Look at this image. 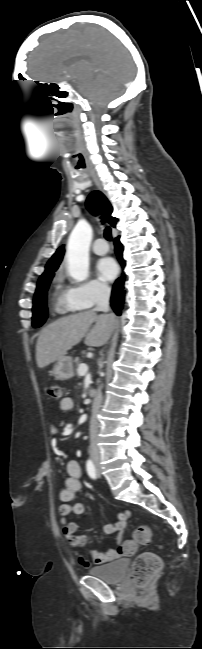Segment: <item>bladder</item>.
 <instances>
[{
    "mask_svg": "<svg viewBox=\"0 0 202 649\" xmlns=\"http://www.w3.org/2000/svg\"><path fill=\"white\" fill-rule=\"evenodd\" d=\"M129 566L128 559H119L109 564L90 569L89 574L106 583L121 581Z\"/></svg>",
    "mask_w": 202,
    "mask_h": 649,
    "instance_id": "obj_1",
    "label": "bladder"
}]
</instances>
